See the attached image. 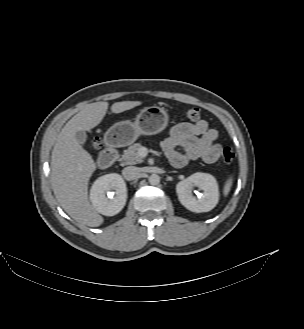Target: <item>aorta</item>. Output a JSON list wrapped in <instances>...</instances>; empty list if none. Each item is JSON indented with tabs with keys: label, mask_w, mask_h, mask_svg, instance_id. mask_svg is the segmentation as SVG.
<instances>
[{
	"label": "aorta",
	"mask_w": 304,
	"mask_h": 329,
	"mask_svg": "<svg viewBox=\"0 0 304 329\" xmlns=\"http://www.w3.org/2000/svg\"><path fill=\"white\" fill-rule=\"evenodd\" d=\"M148 181L151 185H158L160 183V176L157 174H152L148 177Z\"/></svg>",
	"instance_id": "aorta-1"
}]
</instances>
